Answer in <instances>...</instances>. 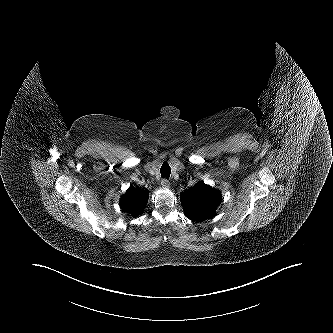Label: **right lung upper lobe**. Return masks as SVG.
Masks as SVG:
<instances>
[{"instance_id": "cb5924a9", "label": "right lung upper lobe", "mask_w": 333, "mask_h": 333, "mask_svg": "<svg viewBox=\"0 0 333 333\" xmlns=\"http://www.w3.org/2000/svg\"><path fill=\"white\" fill-rule=\"evenodd\" d=\"M148 191L129 188L120 199L121 208L133 216H138L145 208L148 201Z\"/></svg>"}]
</instances>
